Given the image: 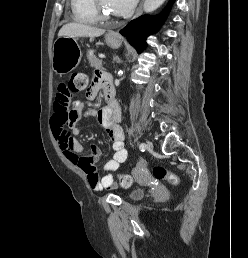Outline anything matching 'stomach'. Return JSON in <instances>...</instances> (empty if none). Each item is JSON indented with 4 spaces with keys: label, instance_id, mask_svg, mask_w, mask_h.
I'll list each match as a JSON object with an SVG mask.
<instances>
[{
    "label": "stomach",
    "instance_id": "1",
    "mask_svg": "<svg viewBox=\"0 0 248 258\" xmlns=\"http://www.w3.org/2000/svg\"><path fill=\"white\" fill-rule=\"evenodd\" d=\"M105 40L112 48L121 45V40L116 34H107ZM81 58L82 52L75 38L62 36L56 39L52 50V68L57 74L70 73L78 66Z\"/></svg>",
    "mask_w": 248,
    "mask_h": 258
}]
</instances>
